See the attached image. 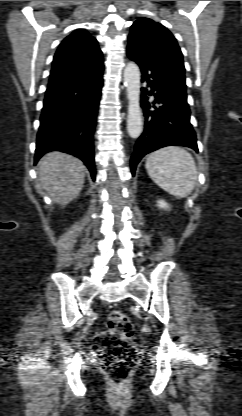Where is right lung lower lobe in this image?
<instances>
[{"label": "right lung lower lobe", "mask_w": 242, "mask_h": 416, "mask_svg": "<svg viewBox=\"0 0 242 416\" xmlns=\"http://www.w3.org/2000/svg\"><path fill=\"white\" fill-rule=\"evenodd\" d=\"M103 70L79 80L48 86L37 135L35 164L49 151L80 158L95 180L93 132L103 85Z\"/></svg>", "instance_id": "98d812e1"}]
</instances>
